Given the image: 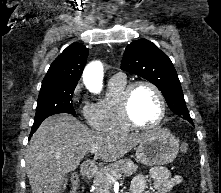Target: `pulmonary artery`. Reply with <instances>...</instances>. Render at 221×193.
Segmentation results:
<instances>
[{"mask_svg": "<svg viewBox=\"0 0 221 193\" xmlns=\"http://www.w3.org/2000/svg\"><path fill=\"white\" fill-rule=\"evenodd\" d=\"M114 77L122 78V77H125V76L122 72H118V73L115 74Z\"/></svg>", "mask_w": 221, "mask_h": 193, "instance_id": "1", "label": "pulmonary artery"}]
</instances>
